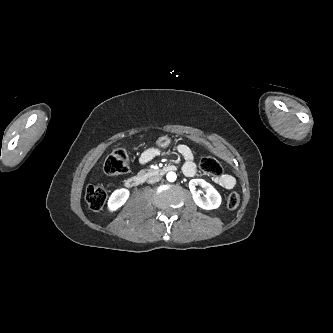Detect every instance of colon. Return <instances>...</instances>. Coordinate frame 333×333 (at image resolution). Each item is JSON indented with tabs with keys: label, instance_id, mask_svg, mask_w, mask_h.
Returning a JSON list of instances; mask_svg holds the SVG:
<instances>
[{
	"label": "colon",
	"instance_id": "obj_1",
	"mask_svg": "<svg viewBox=\"0 0 333 333\" xmlns=\"http://www.w3.org/2000/svg\"><path fill=\"white\" fill-rule=\"evenodd\" d=\"M200 167L205 172L218 176L222 172L220 163L213 157L204 156L200 160ZM130 168V158L124 149H115L106 159L104 170L109 175H117L128 172ZM85 199L90 209L94 211L101 210L107 200V192L101 186H89L85 192ZM240 204V195L232 192L227 198L229 209H236Z\"/></svg>",
	"mask_w": 333,
	"mask_h": 333
}]
</instances>
